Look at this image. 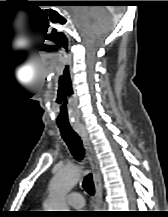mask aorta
<instances>
[{
    "instance_id": "obj_1",
    "label": "aorta",
    "mask_w": 168,
    "mask_h": 217,
    "mask_svg": "<svg viewBox=\"0 0 168 217\" xmlns=\"http://www.w3.org/2000/svg\"><path fill=\"white\" fill-rule=\"evenodd\" d=\"M80 173L77 166L63 167L57 171L49 184V195L44 204L46 211H69L65 197L78 183Z\"/></svg>"
}]
</instances>
